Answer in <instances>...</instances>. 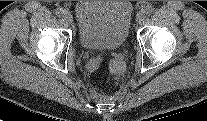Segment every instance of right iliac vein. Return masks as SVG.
Here are the masks:
<instances>
[{
  "label": "right iliac vein",
  "instance_id": "63e3f726",
  "mask_svg": "<svg viewBox=\"0 0 207 121\" xmlns=\"http://www.w3.org/2000/svg\"><path fill=\"white\" fill-rule=\"evenodd\" d=\"M63 19L67 22V23H72V14L69 11H65L63 14Z\"/></svg>",
  "mask_w": 207,
  "mask_h": 121
}]
</instances>
